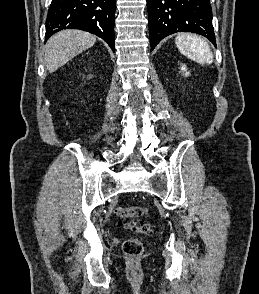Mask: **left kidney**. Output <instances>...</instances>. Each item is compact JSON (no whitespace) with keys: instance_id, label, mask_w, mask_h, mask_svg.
<instances>
[{"instance_id":"obj_1","label":"left kidney","mask_w":259,"mask_h":294,"mask_svg":"<svg viewBox=\"0 0 259 294\" xmlns=\"http://www.w3.org/2000/svg\"><path fill=\"white\" fill-rule=\"evenodd\" d=\"M181 70H183V71H185L186 70V67H185V65H183L182 67H181ZM188 73H186V75H187Z\"/></svg>"}]
</instances>
